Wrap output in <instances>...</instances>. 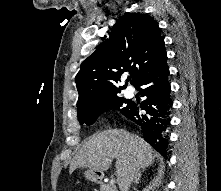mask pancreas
I'll return each mask as SVG.
<instances>
[{
	"label": "pancreas",
	"mask_w": 221,
	"mask_h": 191,
	"mask_svg": "<svg viewBox=\"0 0 221 191\" xmlns=\"http://www.w3.org/2000/svg\"><path fill=\"white\" fill-rule=\"evenodd\" d=\"M100 191H117V188L110 183L105 184L102 182L100 184Z\"/></svg>",
	"instance_id": "pancreas-1"
}]
</instances>
